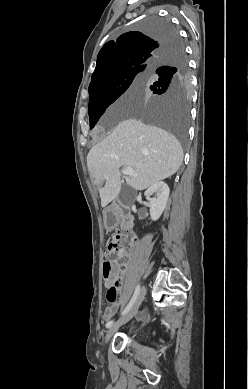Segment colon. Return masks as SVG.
Instances as JSON below:
<instances>
[{"mask_svg":"<svg viewBox=\"0 0 248 389\" xmlns=\"http://www.w3.org/2000/svg\"><path fill=\"white\" fill-rule=\"evenodd\" d=\"M131 249V241L126 234L116 235L109 243L107 256L109 260L103 263L104 285L108 287L106 298L109 303H115L118 298L122 274L117 268L119 260L126 259ZM131 331L130 327L126 328Z\"/></svg>","mask_w":248,"mask_h":389,"instance_id":"obj_1","label":"colon"}]
</instances>
